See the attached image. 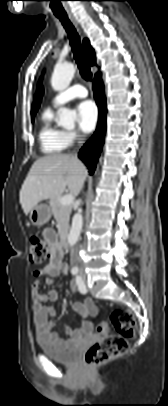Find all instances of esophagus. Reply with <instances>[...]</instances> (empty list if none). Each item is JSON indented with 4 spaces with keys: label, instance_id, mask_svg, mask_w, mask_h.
Segmentation results:
<instances>
[{
    "label": "esophagus",
    "instance_id": "1",
    "mask_svg": "<svg viewBox=\"0 0 168 406\" xmlns=\"http://www.w3.org/2000/svg\"><path fill=\"white\" fill-rule=\"evenodd\" d=\"M71 20H72L73 24L77 27L78 26L77 22L74 19H71Z\"/></svg>",
    "mask_w": 168,
    "mask_h": 406
}]
</instances>
